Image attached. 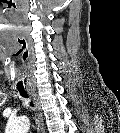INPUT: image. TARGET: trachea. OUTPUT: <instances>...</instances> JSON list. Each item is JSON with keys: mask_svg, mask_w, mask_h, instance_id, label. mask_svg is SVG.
I'll use <instances>...</instances> for the list:
<instances>
[{"mask_svg": "<svg viewBox=\"0 0 120 133\" xmlns=\"http://www.w3.org/2000/svg\"><path fill=\"white\" fill-rule=\"evenodd\" d=\"M18 90H19L21 96L27 97V93H26V91H25L23 88H18ZM31 105H32V104H31Z\"/></svg>", "mask_w": 120, "mask_h": 133, "instance_id": "obj_1", "label": "trachea"}]
</instances>
